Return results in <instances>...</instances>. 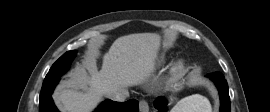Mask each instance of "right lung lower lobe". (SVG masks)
Instances as JSON below:
<instances>
[{
  "label": "right lung lower lobe",
  "mask_w": 270,
  "mask_h": 112,
  "mask_svg": "<svg viewBox=\"0 0 270 112\" xmlns=\"http://www.w3.org/2000/svg\"><path fill=\"white\" fill-rule=\"evenodd\" d=\"M58 82H43L41 93L39 112H59L52 100V92ZM138 102L131 99L127 102H113L105 100L102 105L94 112H138Z\"/></svg>",
  "instance_id": "98d812e1"
}]
</instances>
